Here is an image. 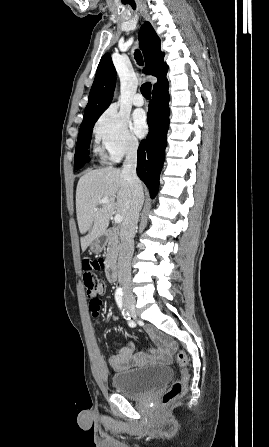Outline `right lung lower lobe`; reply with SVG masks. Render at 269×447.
<instances>
[{
  "mask_svg": "<svg viewBox=\"0 0 269 447\" xmlns=\"http://www.w3.org/2000/svg\"><path fill=\"white\" fill-rule=\"evenodd\" d=\"M168 86V80L164 75L158 78L153 87L147 119L150 131L138 148L137 175L148 187L151 198L158 192L159 176L167 144L170 114Z\"/></svg>",
  "mask_w": 269,
  "mask_h": 447,
  "instance_id": "1",
  "label": "right lung lower lobe"
}]
</instances>
